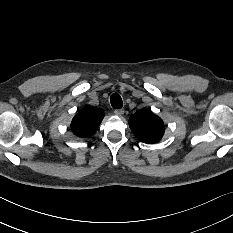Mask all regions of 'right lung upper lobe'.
<instances>
[{"label":"right lung upper lobe","mask_w":233,"mask_h":233,"mask_svg":"<svg viewBox=\"0 0 233 233\" xmlns=\"http://www.w3.org/2000/svg\"><path fill=\"white\" fill-rule=\"evenodd\" d=\"M103 117L104 112L102 110L87 106L73 118L72 132L78 137L90 136L98 129Z\"/></svg>","instance_id":"obj_1"}]
</instances>
